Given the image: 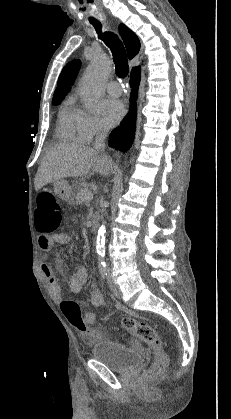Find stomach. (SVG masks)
<instances>
[{
  "label": "stomach",
  "mask_w": 231,
  "mask_h": 419,
  "mask_svg": "<svg viewBox=\"0 0 231 419\" xmlns=\"http://www.w3.org/2000/svg\"><path fill=\"white\" fill-rule=\"evenodd\" d=\"M54 192L63 201L73 203L76 187H72L66 180L59 179L54 181Z\"/></svg>",
  "instance_id": "0dacf381"
}]
</instances>
